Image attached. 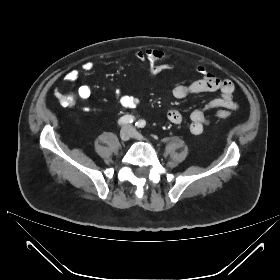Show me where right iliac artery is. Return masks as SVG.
Wrapping results in <instances>:
<instances>
[{
  "instance_id": "82829eb1",
  "label": "right iliac artery",
  "mask_w": 280,
  "mask_h": 280,
  "mask_svg": "<svg viewBox=\"0 0 280 280\" xmlns=\"http://www.w3.org/2000/svg\"><path fill=\"white\" fill-rule=\"evenodd\" d=\"M134 120H135L134 116H132V115H124L123 117H121L118 120V124L120 126H124V125H128V124L132 123Z\"/></svg>"
}]
</instances>
